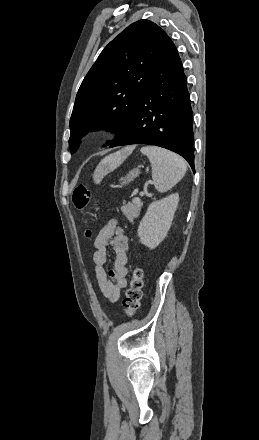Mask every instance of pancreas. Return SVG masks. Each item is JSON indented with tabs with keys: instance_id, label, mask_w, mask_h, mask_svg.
Instances as JSON below:
<instances>
[{
	"instance_id": "obj_1",
	"label": "pancreas",
	"mask_w": 259,
	"mask_h": 440,
	"mask_svg": "<svg viewBox=\"0 0 259 440\" xmlns=\"http://www.w3.org/2000/svg\"><path fill=\"white\" fill-rule=\"evenodd\" d=\"M142 205H143L142 201L139 202L132 201L128 204L123 205L121 210L129 221H133L136 217H138Z\"/></svg>"
}]
</instances>
